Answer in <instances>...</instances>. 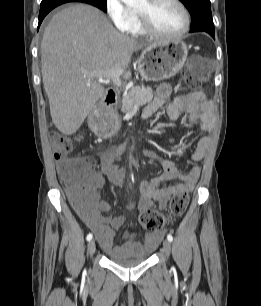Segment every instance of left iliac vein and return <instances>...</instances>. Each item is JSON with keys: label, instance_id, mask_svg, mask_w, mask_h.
<instances>
[{"label": "left iliac vein", "instance_id": "left-iliac-vein-1", "mask_svg": "<svg viewBox=\"0 0 261 306\" xmlns=\"http://www.w3.org/2000/svg\"><path fill=\"white\" fill-rule=\"evenodd\" d=\"M163 248H164V252L166 254V256L168 257L170 255V251H171V243L169 240H164L163 241Z\"/></svg>", "mask_w": 261, "mask_h": 306}]
</instances>
